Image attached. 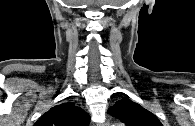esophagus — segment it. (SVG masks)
I'll return each mask as SVG.
<instances>
[{"label":"esophagus","instance_id":"34e87169","mask_svg":"<svg viewBox=\"0 0 195 126\" xmlns=\"http://www.w3.org/2000/svg\"><path fill=\"white\" fill-rule=\"evenodd\" d=\"M103 126H109V120H107V121L103 124Z\"/></svg>","mask_w":195,"mask_h":126}]
</instances>
